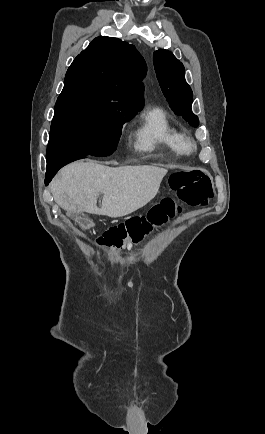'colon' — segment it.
<instances>
[{"instance_id": "colon-1", "label": "colon", "mask_w": 265, "mask_h": 434, "mask_svg": "<svg viewBox=\"0 0 265 434\" xmlns=\"http://www.w3.org/2000/svg\"><path fill=\"white\" fill-rule=\"evenodd\" d=\"M199 171L200 168H170V187L176 193H182V202L205 205L211 201L210 174ZM181 211L180 203L164 198L148 214L109 227L96 241V247L107 249L111 254H121L127 247L144 242L156 228Z\"/></svg>"}]
</instances>
